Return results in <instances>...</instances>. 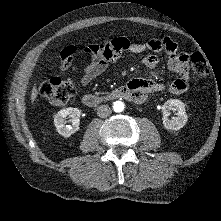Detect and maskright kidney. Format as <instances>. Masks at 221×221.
Returning <instances> with one entry per match:
<instances>
[{
	"mask_svg": "<svg viewBox=\"0 0 221 221\" xmlns=\"http://www.w3.org/2000/svg\"><path fill=\"white\" fill-rule=\"evenodd\" d=\"M71 117L72 125H65L66 118ZM80 110L78 108L69 107L57 112L54 116V125L58 133L64 137H69L77 132L80 127Z\"/></svg>",
	"mask_w": 221,
	"mask_h": 221,
	"instance_id": "1",
	"label": "right kidney"
}]
</instances>
